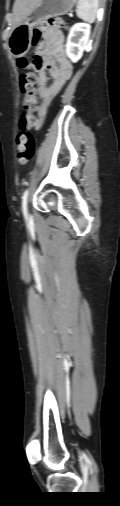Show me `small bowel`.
<instances>
[{
	"instance_id": "obj_1",
	"label": "small bowel",
	"mask_w": 120,
	"mask_h": 506,
	"mask_svg": "<svg viewBox=\"0 0 120 506\" xmlns=\"http://www.w3.org/2000/svg\"><path fill=\"white\" fill-rule=\"evenodd\" d=\"M63 43L62 32L51 30L44 34V41L34 53V59L37 60L35 69L39 79L38 94L43 98V102L36 109L35 126L37 129L44 122L49 104L66 84L72 73V65L66 58ZM48 75L52 79L50 86H47Z\"/></svg>"
}]
</instances>
